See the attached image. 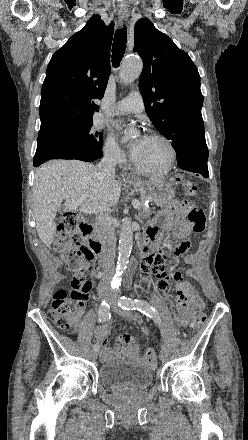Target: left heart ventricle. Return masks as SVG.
Segmentation results:
<instances>
[{"label": "left heart ventricle", "instance_id": "left-heart-ventricle-1", "mask_svg": "<svg viewBox=\"0 0 248 440\" xmlns=\"http://www.w3.org/2000/svg\"><path fill=\"white\" fill-rule=\"evenodd\" d=\"M167 156V148L161 141L147 137L140 154L134 159V162L146 169H159L165 165Z\"/></svg>", "mask_w": 248, "mask_h": 440}]
</instances>
